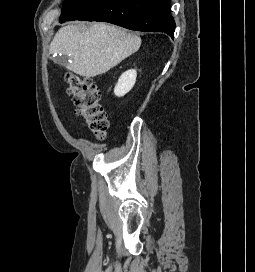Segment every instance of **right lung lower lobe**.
Returning a JSON list of instances; mask_svg holds the SVG:
<instances>
[{"instance_id": "obj_1", "label": "right lung lower lobe", "mask_w": 255, "mask_h": 272, "mask_svg": "<svg viewBox=\"0 0 255 272\" xmlns=\"http://www.w3.org/2000/svg\"><path fill=\"white\" fill-rule=\"evenodd\" d=\"M170 1L90 0L65 21L109 22L131 30L164 32L173 37L175 21L171 15Z\"/></svg>"}]
</instances>
